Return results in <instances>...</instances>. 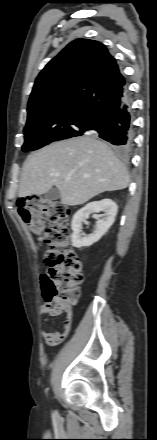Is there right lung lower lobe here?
Wrapping results in <instances>:
<instances>
[{"instance_id": "1", "label": "right lung lower lobe", "mask_w": 157, "mask_h": 440, "mask_svg": "<svg viewBox=\"0 0 157 440\" xmlns=\"http://www.w3.org/2000/svg\"><path fill=\"white\" fill-rule=\"evenodd\" d=\"M83 131H96L99 137L127 151L133 143L132 114L128 94L117 106L94 116Z\"/></svg>"}]
</instances>
